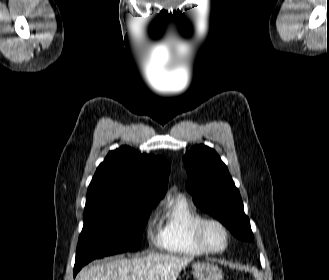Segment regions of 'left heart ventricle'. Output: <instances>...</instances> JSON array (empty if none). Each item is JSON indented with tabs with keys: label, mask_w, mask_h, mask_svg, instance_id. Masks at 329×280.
Returning a JSON list of instances; mask_svg holds the SVG:
<instances>
[{
	"label": "left heart ventricle",
	"mask_w": 329,
	"mask_h": 280,
	"mask_svg": "<svg viewBox=\"0 0 329 280\" xmlns=\"http://www.w3.org/2000/svg\"><path fill=\"white\" fill-rule=\"evenodd\" d=\"M205 240L208 245L214 249H219L225 244V235L216 225H209L205 229Z\"/></svg>",
	"instance_id": "obj_1"
}]
</instances>
